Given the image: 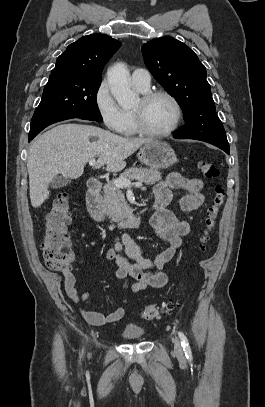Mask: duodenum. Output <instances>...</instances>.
Here are the masks:
<instances>
[{
    "label": "duodenum",
    "instance_id": "obj_1",
    "mask_svg": "<svg viewBox=\"0 0 265 407\" xmlns=\"http://www.w3.org/2000/svg\"><path fill=\"white\" fill-rule=\"evenodd\" d=\"M86 206L89 215L96 221L104 222L105 216L102 211L99 195L101 191V182L95 178H91L87 184ZM144 212L142 210L133 211L119 222L109 223L111 229L118 227L136 228L140 225Z\"/></svg>",
    "mask_w": 265,
    "mask_h": 407
}]
</instances>
